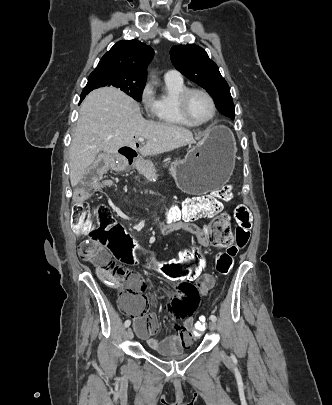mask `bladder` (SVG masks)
<instances>
[{
	"label": "bladder",
	"instance_id": "31cf9c89",
	"mask_svg": "<svg viewBox=\"0 0 332 405\" xmlns=\"http://www.w3.org/2000/svg\"><path fill=\"white\" fill-rule=\"evenodd\" d=\"M156 353L166 359H178L184 357L186 354L180 350H157Z\"/></svg>",
	"mask_w": 332,
	"mask_h": 405
}]
</instances>
